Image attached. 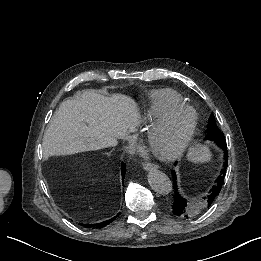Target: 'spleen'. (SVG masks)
<instances>
[{
	"instance_id": "obj_1",
	"label": "spleen",
	"mask_w": 261,
	"mask_h": 261,
	"mask_svg": "<svg viewBox=\"0 0 261 261\" xmlns=\"http://www.w3.org/2000/svg\"><path fill=\"white\" fill-rule=\"evenodd\" d=\"M190 158L195 161H206L209 159V153L206 147L199 146L193 148L190 153Z\"/></svg>"
}]
</instances>
